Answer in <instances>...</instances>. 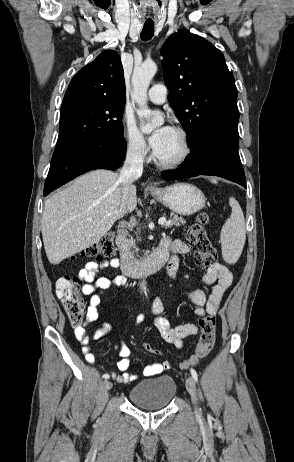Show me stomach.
<instances>
[{"mask_svg":"<svg viewBox=\"0 0 294 462\" xmlns=\"http://www.w3.org/2000/svg\"><path fill=\"white\" fill-rule=\"evenodd\" d=\"M151 195L173 212L189 216L205 207L204 194L194 185L176 183L151 191Z\"/></svg>","mask_w":294,"mask_h":462,"instance_id":"obj_1","label":"stomach"}]
</instances>
